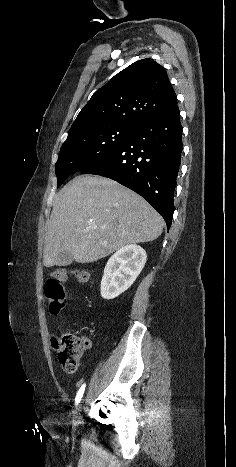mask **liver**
<instances>
[{
	"label": "liver",
	"instance_id": "liver-1",
	"mask_svg": "<svg viewBox=\"0 0 236 467\" xmlns=\"http://www.w3.org/2000/svg\"><path fill=\"white\" fill-rule=\"evenodd\" d=\"M163 226L162 217L132 190L109 178L80 175L55 197L43 264L58 265L62 251L78 263H91L127 245L157 239Z\"/></svg>",
	"mask_w": 236,
	"mask_h": 467
}]
</instances>
